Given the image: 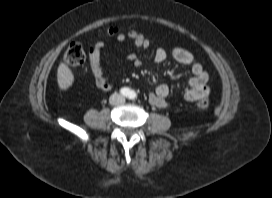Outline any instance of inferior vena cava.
I'll list each match as a JSON object with an SVG mask.
<instances>
[{"instance_id": "1", "label": "inferior vena cava", "mask_w": 272, "mask_h": 198, "mask_svg": "<svg viewBox=\"0 0 272 198\" xmlns=\"http://www.w3.org/2000/svg\"><path fill=\"white\" fill-rule=\"evenodd\" d=\"M109 102L111 105H119L125 102V97L118 93H113L110 98Z\"/></svg>"}]
</instances>
